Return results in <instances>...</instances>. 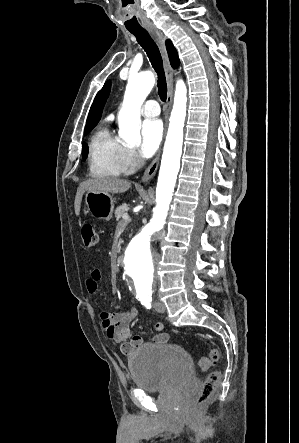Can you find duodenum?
<instances>
[{
	"label": "duodenum",
	"instance_id": "410a0bca",
	"mask_svg": "<svg viewBox=\"0 0 299 443\" xmlns=\"http://www.w3.org/2000/svg\"><path fill=\"white\" fill-rule=\"evenodd\" d=\"M116 264H117L118 266H122V265H123V258H122L121 256H118V257L116 258Z\"/></svg>",
	"mask_w": 299,
	"mask_h": 443
}]
</instances>
